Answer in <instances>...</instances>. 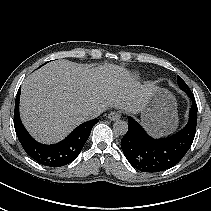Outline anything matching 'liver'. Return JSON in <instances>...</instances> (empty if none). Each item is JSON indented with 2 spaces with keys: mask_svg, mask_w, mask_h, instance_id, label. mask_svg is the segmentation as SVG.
<instances>
[{
  "mask_svg": "<svg viewBox=\"0 0 211 211\" xmlns=\"http://www.w3.org/2000/svg\"><path fill=\"white\" fill-rule=\"evenodd\" d=\"M154 88L153 83L141 85L118 65L91 68L69 60L53 61L24 80L20 115L36 140L54 143L89 120L86 113L91 109L142 112Z\"/></svg>",
  "mask_w": 211,
  "mask_h": 211,
  "instance_id": "6515ba94",
  "label": "liver"
}]
</instances>
